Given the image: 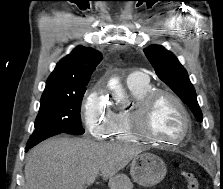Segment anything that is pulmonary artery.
<instances>
[{
	"label": "pulmonary artery",
	"instance_id": "pulmonary-artery-1",
	"mask_svg": "<svg viewBox=\"0 0 223 189\" xmlns=\"http://www.w3.org/2000/svg\"><path fill=\"white\" fill-rule=\"evenodd\" d=\"M148 76L142 71H135L127 78L128 86H140L148 83Z\"/></svg>",
	"mask_w": 223,
	"mask_h": 189
}]
</instances>
